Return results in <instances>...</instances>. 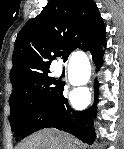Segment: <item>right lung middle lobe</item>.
<instances>
[{
    "instance_id": "obj_1",
    "label": "right lung middle lobe",
    "mask_w": 124,
    "mask_h": 149,
    "mask_svg": "<svg viewBox=\"0 0 124 149\" xmlns=\"http://www.w3.org/2000/svg\"><path fill=\"white\" fill-rule=\"evenodd\" d=\"M48 73L37 76L30 83L13 89L9 103V121L16 140L20 137L31 117L44 106L59 82L50 78Z\"/></svg>"
}]
</instances>
